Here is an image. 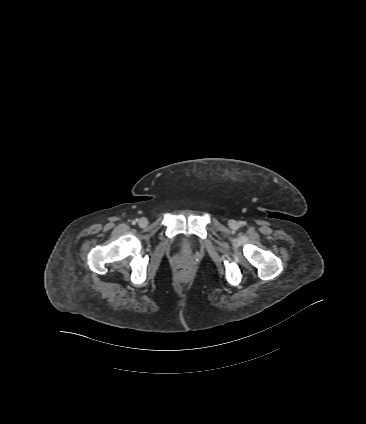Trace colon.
<instances>
[{"instance_id": "1", "label": "colon", "mask_w": 366, "mask_h": 424, "mask_svg": "<svg viewBox=\"0 0 366 424\" xmlns=\"http://www.w3.org/2000/svg\"><path fill=\"white\" fill-rule=\"evenodd\" d=\"M177 273H178L179 275L183 276V275L186 273V270H185V269H183V268H180V269H178V270H177Z\"/></svg>"}]
</instances>
